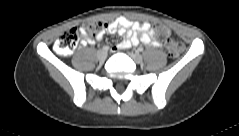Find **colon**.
Instances as JSON below:
<instances>
[{"label":"colon","mask_w":239,"mask_h":136,"mask_svg":"<svg viewBox=\"0 0 239 136\" xmlns=\"http://www.w3.org/2000/svg\"><path fill=\"white\" fill-rule=\"evenodd\" d=\"M105 25L99 21H87L81 27L72 28L64 32L55 42L54 49L60 55H68L78 46L82 35L90 39L96 38ZM159 36L164 38L165 46L171 57H177L183 50V44L169 37V30L162 24L156 25Z\"/></svg>","instance_id":"colon-1"}]
</instances>
